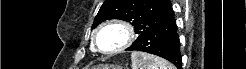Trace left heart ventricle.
Returning a JSON list of instances; mask_svg holds the SVG:
<instances>
[{
  "label": "left heart ventricle",
  "instance_id": "left-heart-ventricle-1",
  "mask_svg": "<svg viewBox=\"0 0 246 69\" xmlns=\"http://www.w3.org/2000/svg\"><path fill=\"white\" fill-rule=\"evenodd\" d=\"M125 38L124 32L117 27H108L102 30L98 35V44L100 48H107L110 45H116Z\"/></svg>",
  "mask_w": 246,
  "mask_h": 69
}]
</instances>
